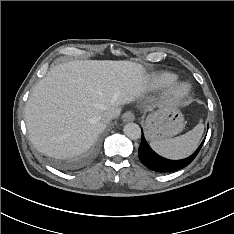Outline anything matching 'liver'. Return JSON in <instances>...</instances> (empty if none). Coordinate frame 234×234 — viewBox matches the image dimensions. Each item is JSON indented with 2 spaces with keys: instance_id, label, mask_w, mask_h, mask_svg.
I'll use <instances>...</instances> for the list:
<instances>
[{
  "instance_id": "obj_1",
  "label": "liver",
  "mask_w": 234,
  "mask_h": 234,
  "mask_svg": "<svg viewBox=\"0 0 234 234\" xmlns=\"http://www.w3.org/2000/svg\"><path fill=\"white\" fill-rule=\"evenodd\" d=\"M144 68L119 60H75L53 67L25 106L30 141L42 154L67 158L85 152L105 129L100 116L140 96Z\"/></svg>"
}]
</instances>
